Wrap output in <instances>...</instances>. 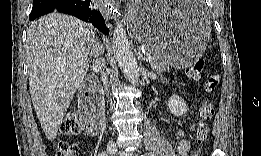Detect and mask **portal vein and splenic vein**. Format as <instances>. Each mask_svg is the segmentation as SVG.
<instances>
[{"instance_id":"1","label":"portal vein and splenic vein","mask_w":261,"mask_h":156,"mask_svg":"<svg viewBox=\"0 0 261 156\" xmlns=\"http://www.w3.org/2000/svg\"><path fill=\"white\" fill-rule=\"evenodd\" d=\"M154 59H155V58H154L153 56H148V57L146 58V61L150 63V62H152Z\"/></svg>"}]
</instances>
